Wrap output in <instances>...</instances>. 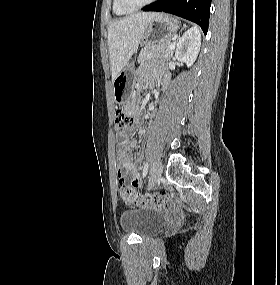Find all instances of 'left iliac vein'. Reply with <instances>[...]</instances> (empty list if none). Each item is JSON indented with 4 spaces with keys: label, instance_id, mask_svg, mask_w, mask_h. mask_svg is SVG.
I'll return each instance as SVG.
<instances>
[{
    "label": "left iliac vein",
    "instance_id": "left-iliac-vein-1",
    "mask_svg": "<svg viewBox=\"0 0 280 285\" xmlns=\"http://www.w3.org/2000/svg\"><path fill=\"white\" fill-rule=\"evenodd\" d=\"M162 171H163V166L161 160L157 159L150 171L149 188H153L158 184L162 176Z\"/></svg>",
    "mask_w": 280,
    "mask_h": 285
}]
</instances>
